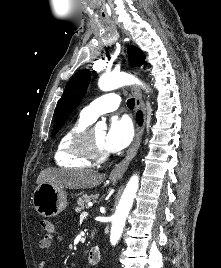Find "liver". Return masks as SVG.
I'll list each match as a JSON object with an SVG mask.
<instances>
[{
	"instance_id": "6515ba94",
	"label": "liver",
	"mask_w": 221,
	"mask_h": 268,
	"mask_svg": "<svg viewBox=\"0 0 221 268\" xmlns=\"http://www.w3.org/2000/svg\"><path fill=\"white\" fill-rule=\"evenodd\" d=\"M104 175L93 170L47 168L40 172L36 183H49L55 187L88 189L102 183Z\"/></svg>"
}]
</instances>
